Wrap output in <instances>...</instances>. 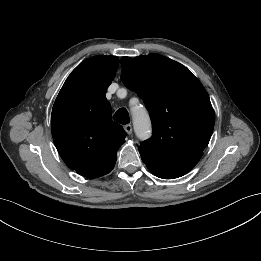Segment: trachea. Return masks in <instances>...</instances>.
<instances>
[{"mask_svg":"<svg viewBox=\"0 0 261 261\" xmlns=\"http://www.w3.org/2000/svg\"><path fill=\"white\" fill-rule=\"evenodd\" d=\"M114 120L120 124H128L130 122L128 111L125 108H120L114 114Z\"/></svg>","mask_w":261,"mask_h":261,"instance_id":"3493384b","label":"trachea"}]
</instances>
